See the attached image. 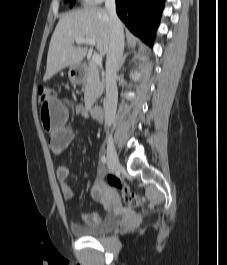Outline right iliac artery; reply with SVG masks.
I'll use <instances>...</instances> for the list:
<instances>
[{
    "mask_svg": "<svg viewBox=\"0 0 227 265\" xmlns=\"http://www.w3.org/2000/svg\"><path fill=\"white\" fill-rule=\"evenodd\" d=\"M101 161H102L103 164L106 163V157L104 155L102 156Z\"/></svg>",
    "mask_w": 227,
    "mask_h": 265,
    "instance_id": "1",
    "label": "right iliac artery"
}]
</instances>
